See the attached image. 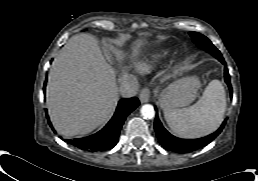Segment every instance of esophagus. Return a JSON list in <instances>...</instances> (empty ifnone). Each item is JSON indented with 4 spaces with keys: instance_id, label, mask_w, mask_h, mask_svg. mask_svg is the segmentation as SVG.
Returning <instances> with one entry per match:
<instances>
[{
    "instance_id": "1",
    "label": "esophagus",
    "mask_w": 258,
    "mask_h": 181,
    "mask_svg": "<svg viewBox=\"0 0 258 181\" xmlns=\"http://www.w3.org/2000/svg\"><path fill=\"white\" fill-rule=\"evenodd\" d=\"M139 99L141 103H147L150 99V90L148 87H145L141 90L139 94Z\"/></svg>"
}]
</instances>
